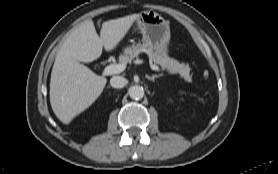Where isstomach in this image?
Returning a JSON list of instances; mask_svg holds the SVG:
<instances>
[{"mask_svg": "<svg viewBox=\"0 0 278 174\" xmlns=\"http://www.w3.org/2000/svg\"><path fill=\"white\" fill-rule=\"evenodd\" d=\"M136 21L144 44L155 51L168 53L171 36L169 22L154 11L141 12Z\"/></svg>", "mask_w": 278, "mask_h": 174, "instance_id": "1", "label": "stomach"}]
</instances>
